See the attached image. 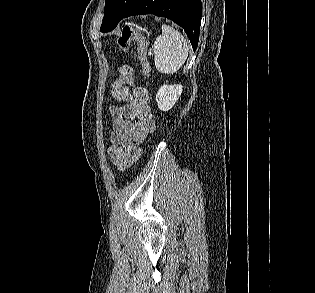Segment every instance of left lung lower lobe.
I'll use <instances>...</instances> for the list:
<instances>
[{
    "instance_id": "obj_1",
    "label": "left lung lower lobe",
    "mask_w": 315,
    "mask_h": 293,
    "mask_svg": "<svg viewBox=\"0 0 315 293\" xmlns=\"http://www.w3.org/2000/svg\"><path fill=\"white\" fill-rule=\"evenodd\" d=\"M144 14L174 21L184 29L193 49L197 48L202 16L201 0H139L124 18Z\"/></svg>"
}]
</instances>
